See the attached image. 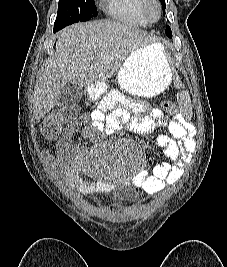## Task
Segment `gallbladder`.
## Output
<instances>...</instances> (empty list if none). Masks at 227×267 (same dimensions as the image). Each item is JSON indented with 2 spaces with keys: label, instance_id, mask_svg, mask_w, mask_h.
<instances>
[{
  "label": "gallbladder",
  "instance_id": "bac80fb5",
  "mask_svg": "<svg viewBox=\"0 0 227 267\" xmlns=\"http://www.w3.org/2000/svg\"><path fill=\"white\" fill-rule=\"evenodd\" d=\"M84 91L82 87L75 84H68L62 90L57 103L62 112L70 111L80 102Z\"/></svg>",
  "mask_w": 227,
  "mask_h": 267
}]
</instances>
